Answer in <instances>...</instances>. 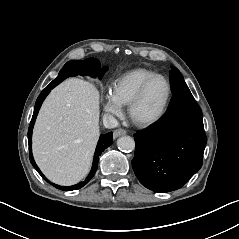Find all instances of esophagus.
Returning a JSON list of instances; mask_svg holds the SVG:
<instances>
[{
  "mask_svg": "<svg viewBox=\"0 0 239 239\" xmlns=\"http://www.w3.org/2000/svg\"><path fill=\"white\" fill-rule=\"evenodd\" d=\"M126 134V130L118 128L113 132V138L116 139L119 136L125 135Z\"/></svg>",
  "mask_w": 239,
  "mask_h": 239,
  "instance_id": "1",
  "label": "esophagus"
}]
</instances>
